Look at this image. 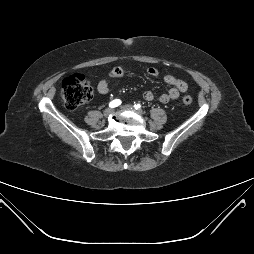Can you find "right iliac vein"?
<instances>
[{
    "instance_id": "1",
    "label": "right iliac vein",
    "mask_w": 254,
    "mask_h": 254,
    "mask_svg": "<svg viewBox=\"0 0 254 254\" xmlns=\"http://www.w3.org/2000/svg\"><path fill=\"white\" fill-rule=\"evenodd\" d=\"M113 112L114 110L112 108H107L104 110V116L109 117Z\"/></svg>"
}]
</instances>
